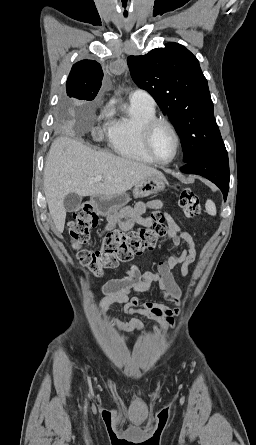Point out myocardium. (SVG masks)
<instances>
[{
  "label": "myocardium",
  "mask_w": 256,
  "mask_h": 445,
  "mask_svg": "<svg viewBox=\"0 0 256 445\" xmlns=\"http://www.w3.org/2000/svg\"><path fill=\"white\" fill-rule=\"evenodd\" d=\"M160 125H164L166 126L173 134L174 138H175V142H176V149H175V153L173 155V157L169 160H161L159 159L154 151H153V147H152V136L153 133L155 131V129L160 126ZM141 138H142V145L143 148L146 152V154L149 156V158L157 164L160 165H169L173 162L176 161V159L179 157L180 155V151H181V138L180 135L177 131V129L175 128V126L168 121L167 119L164 118H154L148 122H146L141 129Z\"/></svg>",
  "instance_id": "myocardium-1"
}]
</instances>
